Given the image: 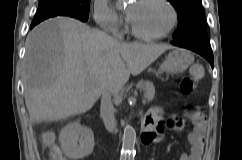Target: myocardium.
I'll return each instance as SVG.
<instances>
[{"mask_svg": "<svg viewBox=\"0 0 242 160\" xmlns=\"http://www.w3.org/2000/svg\"><path fill=\"white\" fill-rule=\"evenodd\" d=\"M161 1L169 7V9L172 13V21H171V24L169 25V27L162 33L154 34V35H146V34H142V33L138 32L133 27V25L131 24V22L128 18V20H127L128 30L134 37H136L140 40H144V41H156V40H160V39L168 36L176 28V26L178 24V20H179V15H178V11H177L175 5L172 3L171 0H161Z\"/></svg>", "mask_w": 242, "mask_h": 160, "instance_id": "f54148a6", "label": "myocardium"}]
</instances>
